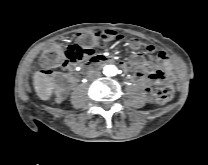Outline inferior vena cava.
Returning <instances> with one entry per match:
<instances>
[{"mask_svg":"<svg viewBox=\"0 0 208 165\" xmlns=\"http://www.w3.org/2000/svg\"><path fill=\"white\" fill-rule=\"evenodd\" d=\"M91 76L93 78H98V77H100V73L99 72H94Z\"/></svg>","mask_w":208,"mask_h":165,"instance_id":"1","label":"inferior vena cava"}]
</instances>
